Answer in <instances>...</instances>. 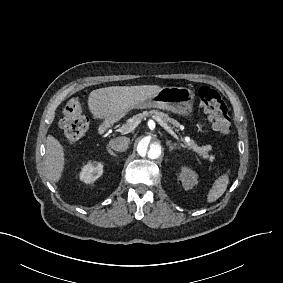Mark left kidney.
Wrapping results in <instances>:
<instances>
[{"mask_svg": "<svg viewBox=\"0 0 283 283\" xmlns=\"http://www.w3.org/2000/svg\"><path fill=\"white\" fill-rule=\"evenodd\" d=\"M179 178L185 190L192 189L198 184V174L188 167H182Z\"/></svg>", "mask_w": 283, "mask_h": 283, "instance_id": "obj_1", "label": "left kidney"}]
</instances>
